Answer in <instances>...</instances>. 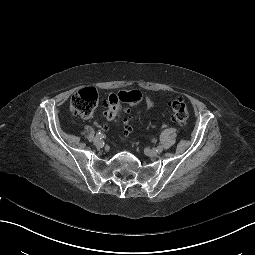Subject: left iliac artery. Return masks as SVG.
<instances>
[{
  "instance_id": "left-iliac-artery-1",
  "label": "left iliac artery",
  "mask_w": 255,
  "mask_h": 255,
  "mask_svg": "<svg viewBox=\"0 0 255 255\" xmlns=\"http://www.w3.org/2000/svg\"><path fill=\"white\" fill-rule=\"evenodd\" d=\"M162 151H163L162 146H158V147L156 148V152H157V153H161Z\"/></svg>"
}]
</instances>
